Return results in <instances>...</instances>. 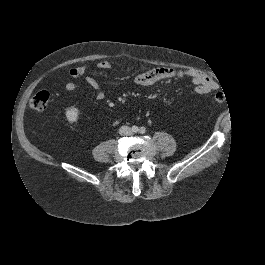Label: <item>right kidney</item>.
<instances>
[{
  "label": "right kidney",
  "mask_w": 265,
  "mask_h": 265,
  "mask_svg": "<svg viewBox=\"0 0 265 265\" xmlns=\"http://www.w3.org/2000/svg\"><path fill=\"white\" fill-rule=\"evenodd\" d=\"M78 109L70 107L66 110V117L70 123L76 122L78 118Z\"/></svg>",
  "instance_id": "ca27d5eb"
}]
</instances>
